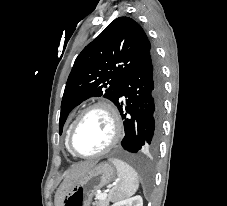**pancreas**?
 I'll return each mask as SVG.
<instances>
[{
    "label": "pancreas",
    "mask_w": 227,
    "mask_h": 206,
    "mask_svg": "<svg viewBox=\"0 0 227 206\" xmlns=\"http://www.w3.org/2000/svg\"><path fill=\"white\" fill-rule=\"evenodd\" d=\"M109 200H110V198L99 199L96 196V201L93 203V205L94 206H109Z\"/></svg>",
    "instance_id": "pancreas-1"
}]
</instances>
